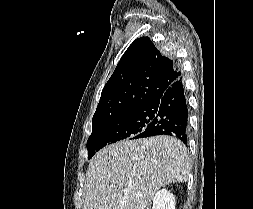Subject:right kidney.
<instances>
[{"label":"right kidney","instance_id":"right-kidney-1","mask_svg":"<svg viewBox=\"0 0 253 209\" xmlns=\"http://www.w3.org/2000/svg\"><path fill=\"white\" fill-rule=\"evenodd\" d=\"M175 196L166 189L159 190L153 198L152 209H175Z\"/></svg>","mask_w":253,"mask_h":209}]
</instances>
